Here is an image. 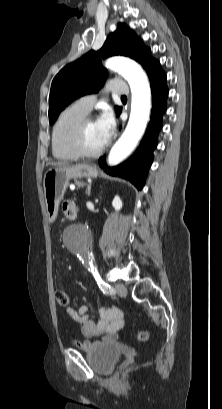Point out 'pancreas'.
I'll list each match as a JSON object with an SVG mask.
<instances>
[{
  "label": "pancreas",
  "mask_w": 222,
  "mask_h": 409,
  "mask_svg": "<svg viewBox=\"0 0 222 409\" xmlns=\"http://www.w3.org/2000/svg\"><path fill=\"white\" fill-rule=\"evenodd\" d=\"M76 185H77L78 187H81V186H84L85 183H84V182H79V181H77V182H76Z\"/></svg>",
  "instance_id": "pancreas-1"
}]
</instances>
